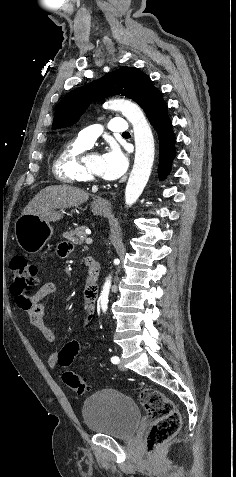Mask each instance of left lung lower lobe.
<instances>
[{"mask_svg": "<svg viewBox=\"0 0 236 477\" xmlns=\"http://www.w3.org/2000/svg\"><path fill=\"white\" fill-rule=\"evenodd\" d=\"M150 123L156 129L159 139V178L164 179L170 169L175 155V137L171 121L167 114V106L159 91L155 94L151 104L146 110Z\"/></svg>", "mask_w": 236, "mask_h": 477, "instance_id": "left-lung-lower-lobe-1", "label": "left lung lower lobe"}]
</instances>
